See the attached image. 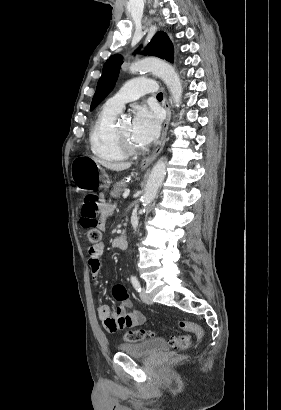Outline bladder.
Returning a JSON list of instances; mask_svg holds the SVG:
<instances>
[{"label":"bladder","mask_w":281,"mask_h":410,"mask_svg":"<svg viewBox=\"0 0 281 410\" xmlns=\"http://www.w3.org/2000/svg\"><path fill=\"white\" fill-rule=\"evenodd\" d=\"M121 353L137 358H149L168 350V343L163 339H148L133 344H119Z\"/></svg>","instance_id":"bladder-1"}]
</instances>
